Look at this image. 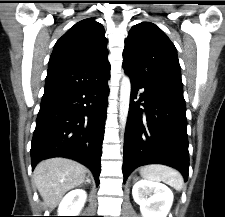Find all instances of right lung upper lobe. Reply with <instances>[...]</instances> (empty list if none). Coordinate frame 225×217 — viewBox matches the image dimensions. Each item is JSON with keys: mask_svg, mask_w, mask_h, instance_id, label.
Segmentation results:
<instances>
[{"mask_svg": "<svg viewBox=\"0 0 225 217\" xmlns=\"http://www.w3.org/2000/svg\"><path fill=\"white\" fill-rule=\"evenodd\" d=\"M102 24L87 18L71 27L50 56L43 96L97 85L110 77Z\"/></svg>", "mask_w": 225, "mask_h": 217, "instance_id": "1", "label": "right lung upper lobe"}]
</instances>
